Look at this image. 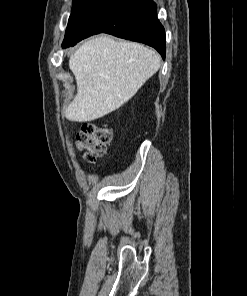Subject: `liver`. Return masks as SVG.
Here are the masks:
<instances>
[{
    "mask_svg": "<svg viewBox=\"0 0 247 296\" xmlns=\"http://www.w3.org/2000/svg\"><path fill=\"white\" fill-rule=\"evenodd\" d=\"M77 94L65 110L68 120L99 119L131 99L160 68L159 54L142 44L101 35L70 57Z\"/></svg>",
    "mask_w": 247,
    "mask_h": 296,
    "instance_id": "liver-1",
    "label": "liver"
}]
</instances>
